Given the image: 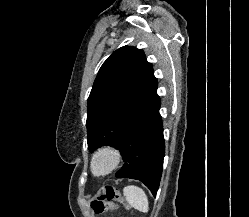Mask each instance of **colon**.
Returning a JSON list of instances; mask_svg holds the SVG:
<instances>
[{
  "instance_id": "1",
  "label": "colon",
  "mask_w": 249,
  "mask_h": 217,
  "mask_svg": "<svg viewBox=\"0 0 249 217\" xmlns=\"http://www.w3.org/2000/svg\"><path fill=\"white\" fill-rule=\"evenodd\" d=\"M114 202L124 203V197L116 188L107 186L91 201V207L98 213L111 211L117 208Z\"/></svg>"
}]
</instances>
